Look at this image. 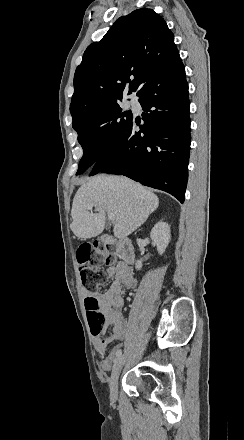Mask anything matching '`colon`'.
<instances>
[{
  "label": "colon",
  "mask_w": 244,
  "mask_h": 440,
  "mask_svg": "<svg viewBox=\"0 0 244 440\" xmlns=\"http://www.w3.org/2000/svg\"><path fill=\"white\" fill-rule=\"evenodd\" d=\"M117 251L114 248H100L99 243L95 245L87 242L80 248H77L74 254V261L81 262L80 272L83 274V281L88 297L85 300V318L86 319H103L104 311L99 310L96 304V297L93 295L98 286L105 283L103 266L107 257H114ZM93 269V270H92ZM113 313L119 312L118 306L112 307Z\"/></svg>",
  "instance_id": "obj_1"
}]
</instances>
